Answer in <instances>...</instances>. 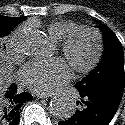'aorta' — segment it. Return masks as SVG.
Returning a JSON list of instances; mask_svg holds the SVG:
<instances>
[{
  "label": "aorta",
  "instance_id": "1",
  "mask_svg": "<svg viewBox=\"0 0 125 125\" xmlns=\"http://www.w3.org/2000/svg\"><path fill=\"white\" fill-rule=\"evenodd\" d=\"M25 52L35 59H47L53 50V44L48 36L36 31L27 38ZM50 112L58 119H67L73 116L76 110L74 101L67 97H55L50 102Z\"/></svg>",
  "mask_w": 125,
  "mask_h": 125
}]
</instances>
